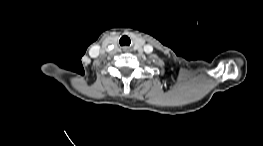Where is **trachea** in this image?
Returning <instances> with one entry per match:
<instances>
[{
	"label": "trachea",
	"instance_id": "1",
	"mask_svg": "<svg viewBox=\"0 0 263 146\" xmlns=\"http://www.w3.org/2000/svg\"><path fill=\"white\" fill-rule=\"evenodd\" d=\"M119 43L121 46H124V45H130L131 43V40L128 36L124 35L120 38L119 40Z\"/></svg>",
	"mask_w": 263,
	"mask_h": 146
}]
</instances>
